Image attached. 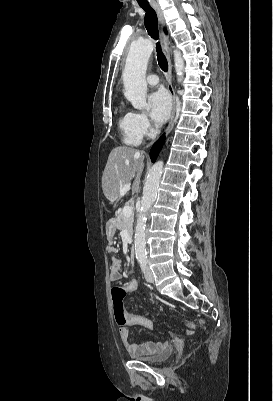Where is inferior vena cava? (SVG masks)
<instances>
[{"instance_id":"1","label":"inferior vena cava","mask_w":273,"mask_h":401,"mask_svg":"<svg viewBox=\"0 0 273 401\" xmlns=\"http://www.w3.org/2000/svg\"><path fill=\"white\" fill-rule=\"evenodd\" d=\"M158 132H160V130H152V132H150V134H152V136H154V134H158Z\"/></svg>"}]
</instances>
